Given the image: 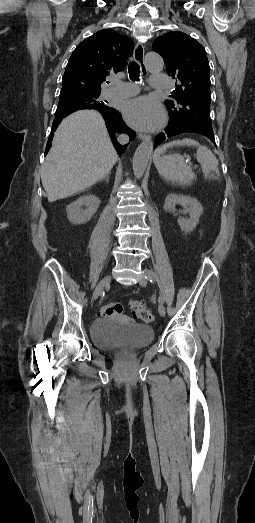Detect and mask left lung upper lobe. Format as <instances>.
Wrapping results in <instances>:
<instances>
[{"instance_id": "5c2ea615", "label": "left lung upper lobe", "mask_w": 255, "mask_h": 523, "mask_svg": "<svg viewBox=\"0 0 255 523\" xmlns=\"http://www.w3.org/2000/svg\"><path fill=\"white\" fill-rule=\"evenodd\" d=\"M153 50L163 57L168 75L180 81L171 92L172 99L165 100L169 123L200 125L213 134L210 66L205 49L189 35L171 31L155 40Z\"/></svg>"}]
</instances>
